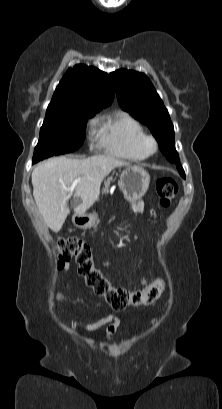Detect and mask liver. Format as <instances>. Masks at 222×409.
I'll use <instances>...</instances> for the list:
<instances>
[{
    "label": "liver",
    "mask_w": 222,
    "mask_h": 409,
    "mask_svg": "<svg viewBox=\"0 0 222 409\" xmlns=\"http://www.w3.org/2000/svg\"><path fill=\"white\" fill-rule=\"evenodd\" d=\"M130 166L110 155L84 159L54 157L39 164L32 172L33 196L44 222L59 232L70 212L68 201L73 181L80 179L74 191V211L85 213L99 198L102 181L116 167Z\"/></svg>",
    "instance_id": "liver-1"
}]
</instances>
